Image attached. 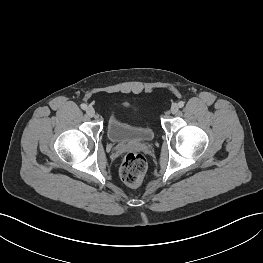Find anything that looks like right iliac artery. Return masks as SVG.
Instances as JSON below:
<instances>
[{"mask_svg":"<svg viewBox=\"0 0 263 263\" xmlns=\"http://www.w3.org/2000/svg\"><path fill=\"white\" fill-rule=\"evenodd\" d=\"M81 108L83 109V110H86L87 109V105L86 104H81Z\"/></svg>","mask_w":263,"mask_h":263,"instance_id":"82829eb1","label":"right iliac artery"}]
</instances>
